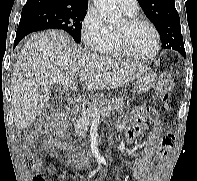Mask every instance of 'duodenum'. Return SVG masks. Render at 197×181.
I'll list each match as a JSON object with an SVG mask.
<instances>
[{"label":"duodenum","instance_id":"1","mask_svg":"<svg viewBox=\"0 0 197 181\" xmlns=\"http://www.w3.org/2000/svg\"><path fill=\"white\" fill-rule=\"evenodd\" d=\"M69 110L72 113H77L80 110V102L78 100H72L69 105Z\"/></svg>","mask_w":197,"mask_h":181}]
</instances>
